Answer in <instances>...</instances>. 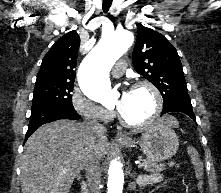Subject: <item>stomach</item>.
I'll use <instances>...</instances> for the list:
<instances>
[{
    "mask_svg": "<svg viewBox=\"0 0 221 193\" xmlns=\"http://www.w3.org/2000/svg\"><path fill=\"white\" fill-rule=\"evenodd\" d=\"M120 143L125 147H134L139 144L146 157L156 162L171 158L179 147L175 131L159 120L151 124L137 141L127 137Z\"/></svg>",
    "mask_w": 221,
    "mask_h": 193,
    "instance_id": "0dacf381",
    "label": "stomach"
}]
</instances>
